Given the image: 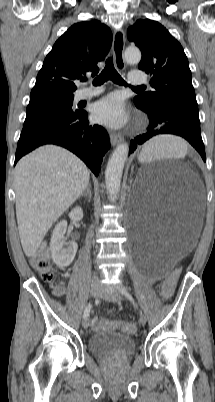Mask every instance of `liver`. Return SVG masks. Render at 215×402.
Masks as SVG:
<instances>
[{
  "label": "liver",
  "mask_w": 215,
  "mask_h": 402,
  "mask_svg": "<svg viewBox=\"0 0 215 402\" xmlns=\"http://www.w3.org/2000/svg\"><path fill=\"white\" fill-rule=\"evenodd\" d=\"M90 174L70 151L45 145L24 156L14 170L16 218L23 251L36 254L53 223L83 194Z\"/></svg>",
  "instance_id": "6515ba94"
}]
</instances>
